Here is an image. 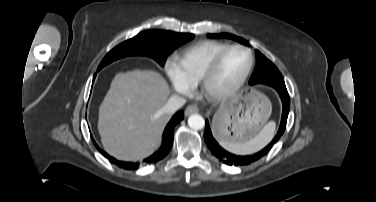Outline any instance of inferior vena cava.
I'll return each instance as SVG.
<instances>
[{"label":"inferior vena cava","mask_w":376,"mask_h":202,"mask_svg":"<svg viewBox=\"0 0 376 202\" xmlns=\"http://www.w3.org/2000/svg\"><path fill=\"white\" fill-rule=\"evenodd\" d=\"M185 103L186 100L184 98L177 95L171 96L165 104V106L163 107L162 111L166 114H173L178 109H180Z\"/></svg>","instance_id":"inferior-vena-cava-1"}]
</instances>
